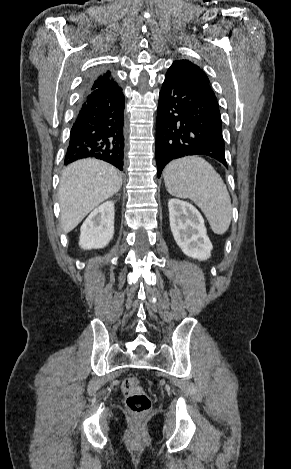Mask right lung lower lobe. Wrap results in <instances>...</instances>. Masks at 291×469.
<instances>
[{"instance_id":"1","label":"right lung lower lobe","mask_w":291,"mask_h":469,"mask_svg":"<svg viewBox=\"0 0 291 469\" xmlns=\"http://www.w3.org/2000/svg\"><path fill=\"white\" fill-rule=\"evenodd\" d=\"M91 82L84 85L64 164L91 157L123 170L124 95L119 86L90 90Z\"/></svg>"}]
</instances>
